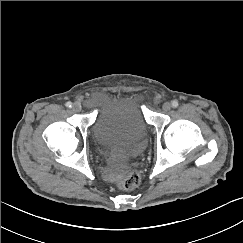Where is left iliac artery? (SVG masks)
<instances>
[{"label": "left iliac artery", "instance_id": "left-iliac-artery-1", "mask_svg": "<svg viewBox=\"0 0 243 243\" xmlns=\"http://www.w3.org/2000/svg\"><path fill=\"white\" fill-rule=\"evenodd\" d=\"M171 104H172V107L176 108L178 106V101L173 100Z\"/></svg>", "mask_w": 243, "mask_h": 243}]
</instances>
